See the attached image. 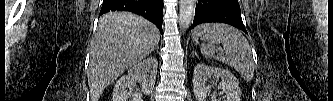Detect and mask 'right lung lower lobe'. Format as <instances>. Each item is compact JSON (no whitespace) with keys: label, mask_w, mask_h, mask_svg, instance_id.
Returning a JSON list of instances; mask_svg holds the SVG:
<instances>
[{"label":"right lung lower lobe","mask_w":333,"mask_h":101,"mask_svg":"<svg viewBox=\"0 0 333 101\" xmlns=\"http://www.w3.org/2000/svg\"><path fill=\"white\" fill-rule=\"evenodd\" d=\"M109 11H129L154 23L162 34L163 0H103L100 15Z\"/></svg>","instance_id":"98d812e1"}]
</instances>
